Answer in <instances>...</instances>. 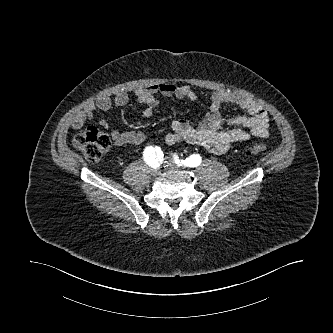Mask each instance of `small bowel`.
I'll return each mask as SVG.
<instances>
[{
	"label": "small bowel",
	"instance_id": "c3829d8e",
	"mask_svg": "<svg viewBox=\"0 0 333 333\" xmlns=\"http://www.w3.org/2000/svg\"><path fill=\"white\" fill-rule=\"evenodd\" d=\"M135 97L144 104L143 118H150L158 104L157 95L174 97L182 100H197L196 92L188 85L175 83L154 84L137 88ZM129 97L125 92H117L112 96H101L90 102L85 110L79 112L71 121L72 128H81L90 120L97 110L109 111L127 104ZM232 103L243 109L246 114L226 119L221 114V106ZM106 126L107 122L102 121ZM117 146H140L145 140L141 131H112ZM269 135V118L267 111L256 101L238 93L218 90L210 96V107L200 125L193 126L187 120H176L171 124V132L165 137L169 146L180 142L201 146L209 152L221 154L233 144L248 141L252 137L266 138Z\"/></svg>",
	"mask_w": 333,
	"mask_h": 333
}]
</instances>
